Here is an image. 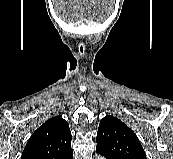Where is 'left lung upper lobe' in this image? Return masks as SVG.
<instances>
[{
  "instance_id": "1",
  "label": "left lung upper lobe",
  "mask_w": 173,
  "mask_h": 159,
  "mask_svg": "<svg viewBox=\"0 0 173 159\" xmlns=\"http://www.w3.org/2000/svg\"><path fill=\"white\" fill-rule=\"evenodd\" d=\"M96 142L97 152L107 159H146L135 133L116 117L101 119Z\"/></svg>"
}]
</instances>
